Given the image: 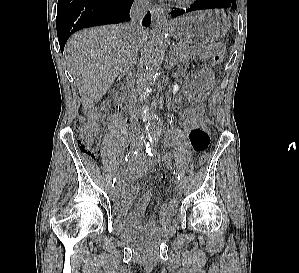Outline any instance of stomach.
<instances>
[{"instance_id":"0dacf381","label":"stomach","mask_w":299,"mask_h":273,"mask_svg":"<svg viewBox=\"0 0 299 273\" xmlns=\"http://www.w3.org/2000/svg\"><path fill=\"white\" fill-rule=\"evenodd\" d=\"M229 27V17L221 10H205L174 20L170 31L180 42L204 44L220 39ZM210 73V69H201L188 75V87L193 94L190 101H200L206 96L211 82Z\"/></svg>"}]
</instances>
